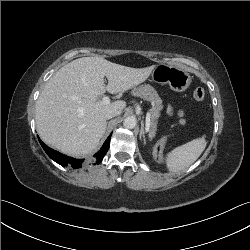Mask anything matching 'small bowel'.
Listing matches in <instances>:
<instances>
[{"mask_svg":"<svg viewBox=\"0 0 250 250\" xmlns=\"http://www.w3.org/2000/svg\"><path fill=\"white\" fill-rule=\"evenodd\" d=\"M169 113H172V108L169 107ZM178 116H179V121H180V124H184L185 123V120L183 119V113L182 112H179L178 113Z\"/></svg>","mask_w":250,"mask_h":250,"instance_id":"small-bowel-1","label":"small bowel"}]
</instances>
